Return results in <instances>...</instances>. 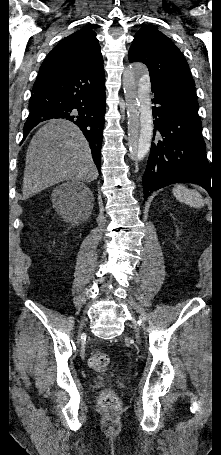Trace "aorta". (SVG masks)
Instances as JSON below:
<instances>
[{
	"label": "aorta",
	"mask_w": 221,
	"mask_h": 455,
	"mask_svg": "<svg viewBox=\"0 0 221 455\" xmlns=\"http://www.w3.org/2000/svg\"><path fill=\"white\" fill-rule=\"evenodd\" d=\"M128 117V146L134 159L143 160L151 147L153 119L147 67L133 63L123 73Z\"/></svg>",
	"instance_id": "obj_1"
}]
</instances>
